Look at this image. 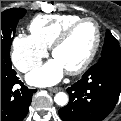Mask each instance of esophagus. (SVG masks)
<instances>
[{"instance_id": "esophagus-1", "label": "esophagus", "mask_w": 121, "mask_h": 121, "mask_svg": "<svg viewBox=\"0 0 121 121\" xmlns=\"http://www.w3.org/2000/svg\"><path fill=\"white\" fill-rule=\"evenodd\" d=\"M48 90H49L50 92L55 93V92L61 90V88H59V87H54V88H49Z\"/></svg>"}]
</instances>
